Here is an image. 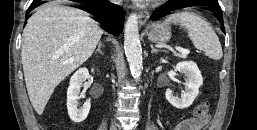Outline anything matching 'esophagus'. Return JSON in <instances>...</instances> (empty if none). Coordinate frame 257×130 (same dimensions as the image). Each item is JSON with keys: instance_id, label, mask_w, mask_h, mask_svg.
Wrapping results in <instances>:
<instances>
[{"instance_id": "1", "label": "esophagus", "mask_w": 257, "mask_h": 130, "mask_svg": "<svg viewBox=\"0 0 257 130\" xmlns=\"http://www.w3.org/2000/svg\"><path fill=\"white\" fill-rule=\"evenodd\" d=\"M150 17V13L147 10L140 11L138 14V20L140 24H144L148 18Z\"/></svg>"}]
</instances>
